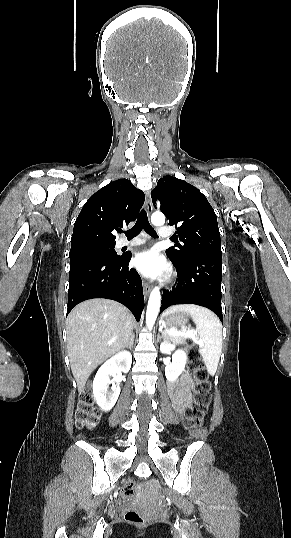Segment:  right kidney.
<instances>
[{
  "mask_svg": "<svg viewBox=\"0 0 291 538\" xmlns=\"http://www.w3.org/2000/svg\"><path fill=\"white\" fill-rule=\"evenodd\" d=\"M131 363V353L120 351L108 359L97 371L92 384L93 396L103 411H109L114 407L121 391L119 386L121 374L130 370ZM110 384L112 387L108 391Z\"/></svg>",
  "mask_w": 291,
  "mask_h": 538,
  "instance_id": "obj_1",
  "label": "right kidney"
}]
</instances>
